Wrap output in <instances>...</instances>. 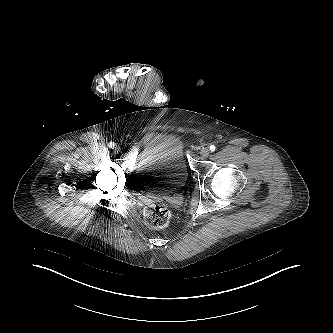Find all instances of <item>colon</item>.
I'll use <instances>...</instances> for the list:
<instances>
[{
	"mask_svg": "<svg viewBox=\"0 0 333 333\" xmlns=\"http://www.w3.org/2000/svg\"><path fill=\"white\" fill-rule=\"evenodd\" d=\"M171 211L162 204H153L144 211L145 223L153 229H163L170 223Z\"/></svg>",
	"mask_w": 333,
	"mask_h": 333,
	"instance_id": "obj_1",
	"label": "colon"
}]
</instances>
